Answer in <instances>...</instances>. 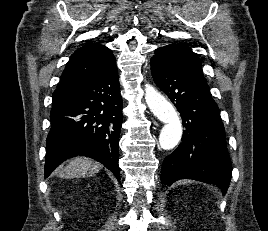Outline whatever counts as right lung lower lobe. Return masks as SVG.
Returning <instances> with one entry per match:
<instances>
[{
    "label": "right lung lower lobe",
    "instance_id": "1",
    "mask_svg": "<svg viewBox=\"0 0 268 231\" xmlns=\"http://www.w3.org/2000/svg\"><path fill=\"white\" fill-rule=\"evenodd\" d=\"M50 116L45 178L64 160L84 155L101 162L120 182L122 97L116 61L74 88L67 101L53 106Z\"/></svg>",
    "mask_w": 268,
    "mask_h": 231
}]
</instances>
